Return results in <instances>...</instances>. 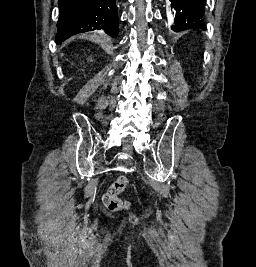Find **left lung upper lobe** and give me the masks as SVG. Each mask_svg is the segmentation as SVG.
<instances>
[{"label": "left lung upper lobe", "instance_id": "obj_1", "mask_svg": "<svg viewBox=\"0 0 256 267\" xmlns=\"http://www.w3.org/2000/svg\"><path fill=\"white\" fill-rule=\"evenodd\" d=\"M206 27H205V25H201L200 27H199V29H205Z\"/></svg>", "mask_w": 256, "mask_h": 267}]
</instances>
